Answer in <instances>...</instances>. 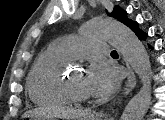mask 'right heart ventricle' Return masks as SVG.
Here are the masks:
<instances>
[{
	"label": "right heart ventricle",
	"instance_id": "right-heart-ventricle-1",
	"mask_svg": "<svg viewBox=\"0 0 165 120\" xmlns=\"http://www.w3.org/2000/svg\"><path fill=\"white\" fill-rule=\"evenodd\" d=\"M69 60L53 45L40 54L27 81L29 96L35 103L70 102L63 88L64 68Z\"/></svg>",
	"mask_w": 165,
	"mask_h": 120
}]
</instances>
